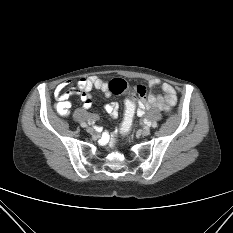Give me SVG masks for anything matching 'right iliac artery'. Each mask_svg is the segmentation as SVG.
I'll use <instances>...</instances> for the list:
<instances>
[{
	"mask_svg": "<svg viewBox=\"0 0 233 233\" xmlns=\"http://www.w3.org/2000/svg\"><path fill=\"white\" fill-rule=\"evenodd\" d=\"M81 126H82V127H86L87 124H86V123H81Z\"/></svg>",
	"mask_w": 233,
	"mask_h": 233,
	"instance_id": "1",
	"label": "right iliac artery"
}]
</instances>
